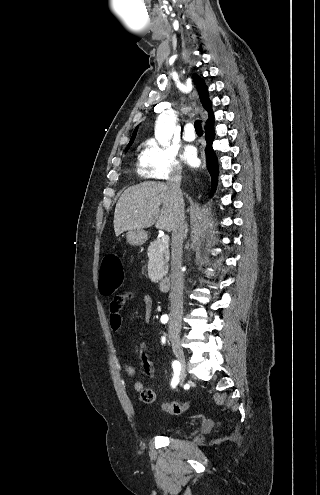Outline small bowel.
<instances>
[{
	"label": "small bowel",
	"instance_id": "obj_1",
	"mask_svg": "<svg viewBox=\"0 0 320 495\" xmlns=\"http://www.w3.org/2000/svg\"><path fill=\"white\" fill-rule=\"evenodd\" d=\"M127 301L133 303H142L145 307V318L146 320L151 318L153 300L152 297L147 293H137L133 291H128L123 295L116 296L110 303L109 308V322L110 326L114 331H118L122 324L123 319V309ZM124 370L127 375L133 376L136 371L134 367L125 364ZM133 388L137 392H141L144 386L141 382L137 381L134 383Z\"/></svg>",
	"mask_w": 320,
	"mask_h": 495
}]
</instances>
